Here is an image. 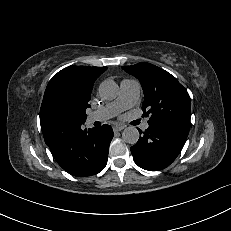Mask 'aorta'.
Segmentation results:
<instances>
[{
    "instance_id": "762f6f07",
    "label": "aorta",
    "mask_w": 231,
    "mask_h": 231,
    "mask_svg": "<svg viewBox=\"0 0 231 231\" xmlns=\"http://www.w3.org/2000/svg\"><path fill=\"white\" fill-rule=\"evenodd\" d=\"M119 87L113 80H105L99 86V95L102 99L112 100L118 95ZM122 138L126 143L136 144L139 140V131L134 126L125 128L122 132Z\"/></svg>"
}]
</instances>
